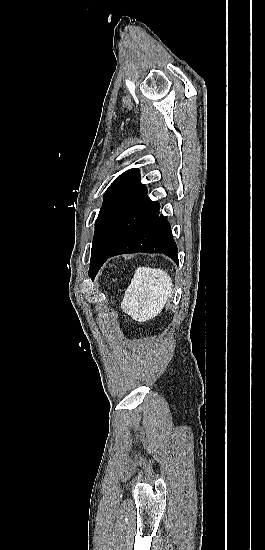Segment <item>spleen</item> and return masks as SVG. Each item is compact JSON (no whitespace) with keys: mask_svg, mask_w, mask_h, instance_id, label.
I'll return each mask as SVG.
<instances>
[{"mask_svg":"<svg viewBox=\"0 0 265 550\" xmlns=\"http://www.w3.org/2000/svg\"><path fill=\"white\" fill-rule=\"evenodd\" d=\"M172 287L166 271L139 267L124 294L121 308L135 321H148L161 313L172 295Z\"/></svg>","mask_w":265,"mask_h":550,"instance_id":"1","label":"spleen"}]
</instances>
